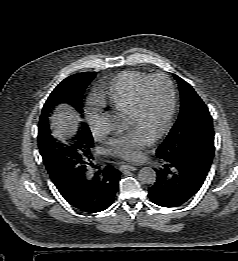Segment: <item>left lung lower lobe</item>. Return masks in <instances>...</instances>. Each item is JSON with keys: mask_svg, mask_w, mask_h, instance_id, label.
Instances as JSON below:
<instances>
[{"mask_svg": "<svg viewBox=\"0 0 238 261\" xmlns=\"http://www.w3.org/2000/svg\"><path fill=\"white\" fill-rule=\"evenodd\" d=\"M156 169V181L149 188L150 200L162 207H177L186 203L201 188L210 164L196 160L161 159Z\"/></svg>", "mask_w": 238, "mask_h": 261, "instance_id": "1", "label": "left lung lower lobe"}]
</instances>
